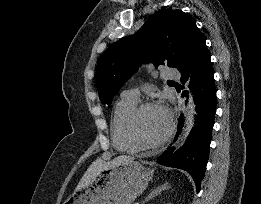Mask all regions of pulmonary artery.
I'll return each mask as SVG.
<instances>
[{"instance_id": "pulmonary-artery-1", "label": "pulmonary artery", "mask_w": 261, "mask_h": 204, "mask_svg": "<svg viewBox=\"0 0 261 204\" xmlns=\"http://www.w3.org/2000/svg\"><path fill=\"white\" fill-rule=\"evenodd\" d=\"M162 77L164 79H177L179 78V72L174 68H165L162 72ZM122 98L137 101L139 98V92L137 89L125 90L122 93Z\"/></svg>"}]
</instances>
